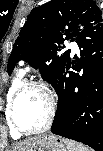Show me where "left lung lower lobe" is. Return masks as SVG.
<instances>
[{
  "instance_id": "0a47b994",
  "label": "left lung lower lobe",
  "mask_w": 103,
  "mask_h": 151,
  "mask_svg": "<svg viewBox=\"0 0 103 151\" xmlns=\"http://www.w3.org/2000/svg\"><path fill=\"white\" fill-rule=\"evenodd\" d=\"M76 43L81 59L69 58L52 83L59 100L51 132L103 151V27L83 30Z\"/></svg>"
}]
</instances>
